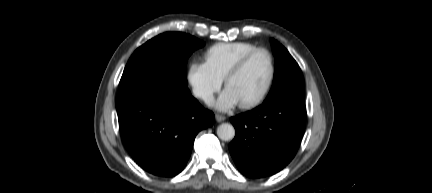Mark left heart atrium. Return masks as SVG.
<instances>
[{
    "label": "left heart atrium",
    "instance_id": "39dd6f15",
    "mask_svg": "<svg viewBox=\"0 0 432 193\" xmlns=\"http://www.w3.org/2000/svg\"><path fill=\"white\" fill-rule=\"evenodd\" d=\"M238 103L236 96L227 88L217 100L216 107L221 111H226L235 107Z\"/></svg>",
    "mask_w": 432,
    "mask_h": 193
}]
</instances>
